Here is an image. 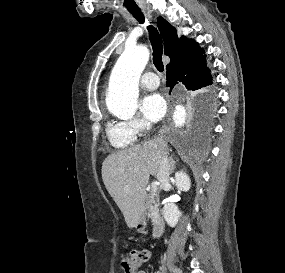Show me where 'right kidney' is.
I'll list each match as a JSON object with an SVG mask.
<instances>
[{"instance_id":"ca27d5eb","label":"right kidney","mask_w":285,"mask_h":273,"mask_svg":"<svg viewBox=\"0 0 285 273\" xmlns=\"http://www.w3.org/2000/svg\"><path fill=\"white\" fill-rule=\"evenodd\" d=\"M176 185L181 191L187 192L190 189L191 183L189 176L183 171L177 172L175 174ZM164 219L170 227H175L181 212L178 207L173 203H168L163 209Z\"/></svg>"}]
</instances>
